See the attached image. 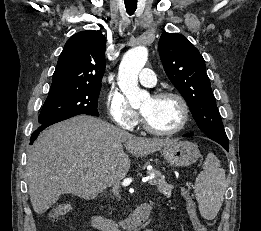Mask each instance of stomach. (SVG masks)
<instances>
[{
	"mask_svg": "<svg viewBox=\"0 0 261 231\" xmlns=\"http://www.w3.org/2000/svg\"><path fill=\"white\" fill-rule=\"evenodd\" d=\"M160 154L172 166L186 167L195 163L200 152L195 143L189 141H174L159 149Z\"/></svg>",
	"mask_w": 261,
	"mask_h": 231,
	"instance_id": "1",
	"label": "stomach"
}]
</instances>
